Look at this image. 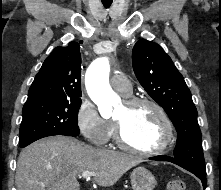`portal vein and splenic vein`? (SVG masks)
<instances>
[{"mask_svg": "<svg viewBox=\"0 0 221 190\" xmlns=\"http://www.w3.org/2000/svg\"><path fill=\"white\" fill-rule=\"evenodd\" d=\"M95 172L85 171L81 174V176L85 179H89L91 176H94Z\"/></svg>", "mask_w": 221, "mask_h": 190, "instance_id": "portal-vein-and-splenic-vein-1", "label": "portal vein and splenic vein"}]
</instances>
